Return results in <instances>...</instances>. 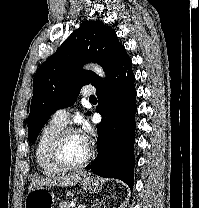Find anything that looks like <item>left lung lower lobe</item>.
Here are the masks:
<instances>
[{"mask_svg": "<svg viewBox=\"0 0 199 208\" xmlns=\"http://www.w3.org/2000/svg\"><path fill=\"white\" fill-rule=\"evenodd\" d=\"M132 61H120L107 81L96 88L102 121L97 125L98 156L86 168L104 178H117L132 189L134 184V132L137 111Z\"/></svg>", "mask_w": 199, "mask_h": 208, "instance_id": "obj_1", "label": "left lung lower lobe"}]
</instances>
